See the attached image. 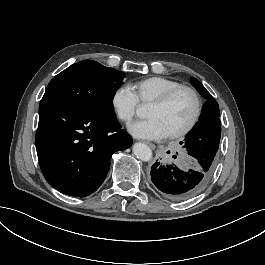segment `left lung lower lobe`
<instances>
[{
  "instance_id": "1",
  "label": "left lung lower lobe",
  "mask_w": 265,
  "mask_h": 265,
  "mask_svg": "<svg viewBox=\"0 0 265 265\" xmlns=\"http://www.w3.org/2000/svg\"><path fill=\"white\" fill-rule=\"evenodd\" d=\"M215 168L214 158H200L191 168L156 162L151 167V181L162 194L173 201H186L198 195L209 182Z\"/></svg>"
}]
</instances>
